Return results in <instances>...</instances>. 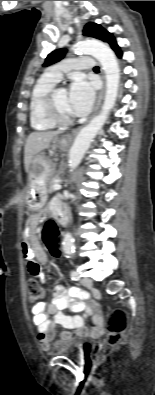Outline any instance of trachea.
<instances>
[{
  "label": "trachea",
  "mask_w": 155,
  "mask_h": 395,
  "mask_svg": "<svg viewBox=\"0 0 155 395\" xmlns=\"http://www.w3.org/2000/svg\"><path fill=\"white\" fill-rule=\"evenodd\" d=\"M98 69H99V67H97V66H96V67H94V70H98Z\"/></svg>",
  "instance_id": "1"
}]
</instances>
